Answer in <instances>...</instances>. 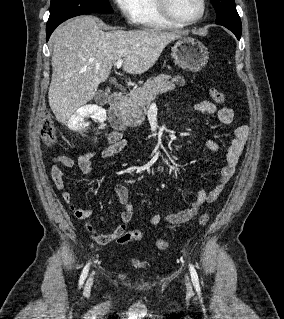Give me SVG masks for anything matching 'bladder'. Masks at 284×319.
<instances>
[{
	"label": "bladder",
	"instance_id": "31cf9c89",
	"mask_svg": "<svg viewBox=\"0 0 284 319\" xmlns=\"http://www.w3.org/2000/svg\"><path fill=\"white\" fill-rule=\"evenodd\" d=\"M134 264L137 266V267H144V263L142 262H134Z\"/></svg>",
	"mask_w": 284,
	"mask_h": 319
}]
</instances>
